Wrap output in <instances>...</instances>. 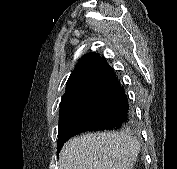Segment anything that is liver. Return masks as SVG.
<instances>
[{"instance_id":"liver-1","label":"liver","mask_w":177,"mask_h":169,"mask_svg":"<svg viewBox=\"0 0 177 169\" xmlns=\"http://www.w3.org/2000/svg\"><path fill=\"white\" fill-rule=\"evenodd\" d=\"M139 151V142L127 132L83 134L64 144L59 169H133Z\"/></svg>"}]
</instances>
